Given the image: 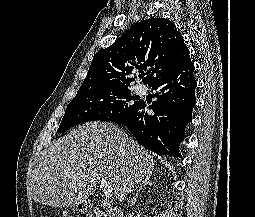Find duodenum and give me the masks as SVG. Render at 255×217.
<instances>
[{
	"label": "duodenum",
	"mask_w": 255,
	"mask_h": 217,
	"mask_svg": "<svg viewBox=\"0 0 255 217\" xmlns=\"http://www.w3.org/2000/svg\"><path fill=\"white\" fill-rule=\"evenodd\" d=\"M79 208L86 217H123L122 212L116 208L103 211L87 203L81 204Z\"/></svg>",
	"instance_id": "obj_1"
}]
</instances>
